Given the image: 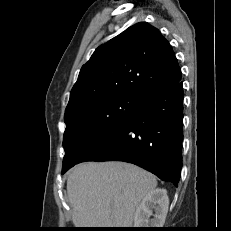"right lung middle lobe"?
<instances>
[{
	"label": "right lung middle lobe",
	"instance_id": "1",
	"mask_svg": "<svg viewBox=\"0 0 231 231\" xmlns=\"http://www.w3.org/2000/svg\"><path fill=\"white\" fill-rule=\"evenodd\" d=\"M137 104V96L120 95L65 114L62 173L126 122Z\"/></svg>",
	"mask_w": 231,
	"mask_h": 231
}]
</instances>
